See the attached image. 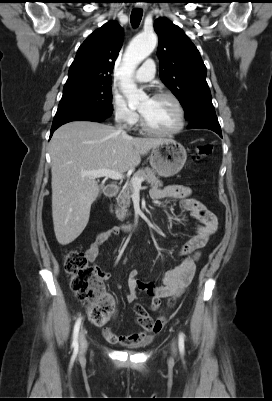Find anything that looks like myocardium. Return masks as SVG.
Wrapping results in <instances>:
<instances>
[{
  "label": "myocardium",
  "mask_w": 272,
  "mask_h": 401,
  "mask_svg": "<svg viewBox=\"0 0 272 401\" xmlns=\"http://www.w3.org/2000/svg\"><path fill=\"white\" fill-rule=\"evenodd\" d=\"M160 98H166L171 100L178 112V123L176 125V127H174L171 130H157L154 129L152 127H150L141 112H139V124L141 129L148 133V134H152V135H156V136H173L176 135L178 133H180L184 126H185V110L184 107L181 103V101L178 99L177 96H175L174 94L170 93V92H157L155 93L151 99H160Z\"/></svg>",
  "instance_id": "1"
}]
</instances>
